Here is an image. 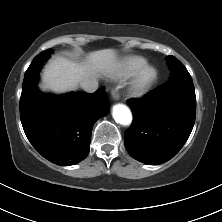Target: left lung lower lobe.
I'll return each instance as SVG.
<instances>
[{
    "mask_svg": "<svg viewBox=\"0 0 222 222\" xmlns=\"http://www.w3.org/2000/svg\"><path fill=\"white\" fill-rule=\"evenodd\" d=\"M133 123L124 134L125 147L136 160L162 164L187 141L196 114V97L190 75L172 78L142 99L127 101Z\"/></svg>",
    "mask_w": 222,
    "mask_h": 222,
    "instance_id": "obj_1",
    "label": "left lung lower lobe"
}]
</instances>
